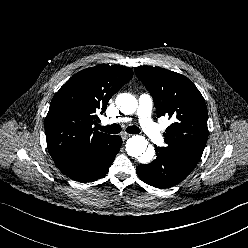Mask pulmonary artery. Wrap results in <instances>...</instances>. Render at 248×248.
Here are the masks:
<instances>
[{"label": "pulmonary artery", "mask_w": 248, "mask_h": 248, "mask_svg": "<svg viewBox=\"0 0 248 248\" xmlns=\"http://www.w3.org/2000/svg\"><path fill=\"white\" fill-rule=\"evenodd\" d=\"M152 98L149 94H141L139 97V107L137 116L144 133L156 144L163 142V136L157 125L151 119ZM131 121L129 117H119L109 120V123H128Z\"/></svg>", "instance_id": "e3ab8cb5"}]
</instances>
